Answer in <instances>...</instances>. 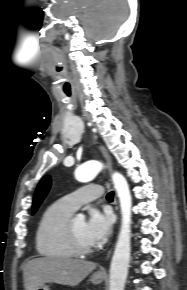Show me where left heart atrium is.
<instances>
[{"instance_id": "left-heart-atrium-1", "label": "left heart atrium", "mask_w": 187, "mask_h": 290, "mask_svg": "<svg viewBox=\"0 0 187 290\" xmlns=\"http://www.w3.org/2000/svg\"><path fill=\"white\" fill-rule=\"evenodd\" d=\"M113 218L109 213H101L91 209L85 222L86 237L91 244H99L106 240L112 230Z\"/></svg>"}]
</instances>
